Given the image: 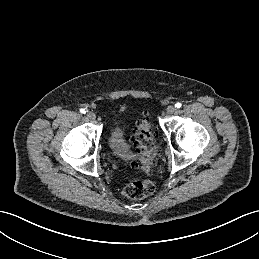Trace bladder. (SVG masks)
<instances>
[{"instance_id": "bladder-1", "label": "bladder", "mask_w": 259, "mask_h": 259, "mask_svg": "<svg viewBox=\"0 0 259 259\" xmlns=\"http://www.w3.org/2000/svg\"><path fill=\"white\" fill-rule=\"evenodd\" d=\"M126 134V126L121 121H116L107 136V146L110 153L124 160L134 157Z\"/></svg>"}]
</instances>
